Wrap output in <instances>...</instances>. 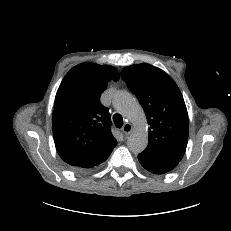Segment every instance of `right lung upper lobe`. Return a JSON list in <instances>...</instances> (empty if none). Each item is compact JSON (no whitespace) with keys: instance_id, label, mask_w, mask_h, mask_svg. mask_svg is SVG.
Wrapping results in <instances>:
<instances>
[{"instance_id":"cb5924a9","label":"right lung upper lobe","mask_w":231,"mask_h":231,"mask_svg":"<svg viewBox=\"0 0 231 231\" xmlns=\"http://www.w3.org/2000/svg\"><path fill=\"white\" fill-rule=\"evenodd\" d=\"M118 71L108 65L81 63L62 80L53 111V136L60 157L69 165L95 162L116 146L109 110L100 96Z\"/></svg>"}]
</instances>
